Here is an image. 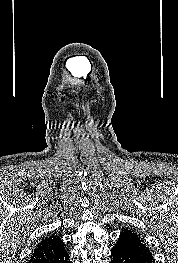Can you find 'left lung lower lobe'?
<instances>
[{"instance_id": "1", "label": "left lung lower lobe", "mask_w": 178, "mask_h": 263, "mask_svg": "<svg viewBox=\"0 0 178 263\" xmlns=\"http://www.w3.org/2000/svg\"><path fill=\"white\" fill-rule=\"evenodd\" d=\"M111 255V263H155L149 249L138 235L125 229L113 246Z\"/></svg>"}]
</instances>
